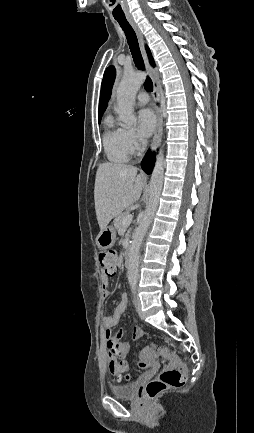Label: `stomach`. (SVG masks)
Returning a JSON list of instances; mask_svg holds the SVG:
<instances>
[{
    "label": "stomach",
    "instance_id": "stomach-1",
    "mask_svg": "<svg viewBox=\"0 0 254 433\" xmlns=\"http://www.w3.org/2000/svg\"><path fill=\"white\" fill-rule=\"evenodd\" d=\"M116 240V232L112 226L101 230L96 238L97 246L101 249H107L114 245Z\"/></svg>",
    "mask_w": 254,
    "mask_h": 433
}]
</instances>
